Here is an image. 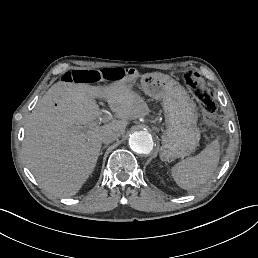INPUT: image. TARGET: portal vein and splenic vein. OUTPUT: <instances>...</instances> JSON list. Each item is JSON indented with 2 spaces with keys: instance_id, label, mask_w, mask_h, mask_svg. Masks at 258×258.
Returning <instances> with one entry per match:
<instances>
[{
  "instance_id": "obj_1",
  "label": "portal vein and splenic vein",
  "mask_w": 258,
  "mask_h": 258,
  "mask_svg": "<svg viewBox=\"0 0 258 258\" xmlns=\"http://www.w3.org/2000/svg\"><path fill=\"white\" fill-rule=\"evenodd\" d=\"M108 115H109V118L112 119L111 113H108ZM76 129H77V130H82V129H84V126L78 125V126H76Z\"/></svg>"
}]
</instances>
